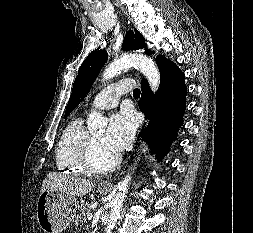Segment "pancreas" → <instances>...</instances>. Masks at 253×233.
Masks as SVG:
<instances>
[{"mask_svg":"<svg viewBox=\"0 0 253 233\" xmlns=\"http://www.w3.org/2000/svg\"><path fill=\"white\" fill-rule=\"evenodd\" d=\"M91 212L89 204H81L79 207V212L75 216V222L76 223H84L86 222V215H88Z\"/></svg>","mask_w":253,"mask_h":233,"instance_id":"1","label":"pancreas"}]
</instances>
